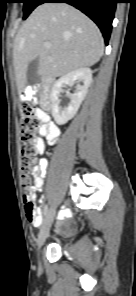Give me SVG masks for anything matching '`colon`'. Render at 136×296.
<instances>
[{
	"label": "colon",
	"instance_id": "1",
	"mask_svg": "<svg viewBox=\"0 0 136 296\" xmlns=\"http://www.w3.org/2000/svg\"><path fill=\"white\" fill-rule=\"evenodd\" d=\"M22 96L19 105L20 119V140H21V171L23 177V198L26 216L29 221L35 222L39 220V213L35 207V196L33 182L36 179L35 156L38 153V145L35 133L40 127V119L38 117L39 110L30 102L33 90Z\"/></svg>",
	"mask_w": 136,
	"mask_h": 296
}]
</instances>
